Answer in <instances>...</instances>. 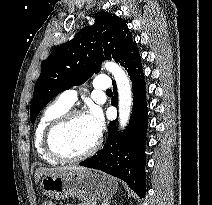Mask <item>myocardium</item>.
Here are the masks:
<instances>
[{
  "instance_id": "f54148a6",
  "label": "myocardium",
  "mask_w": 212,
  "mask_h": 205,
  "mask_svg": "<svg viewBox=\"0 0 212 205\" xmlns=\"http://www.w3.org/2000/svg\"><path fill=\"white\" fill-rule=\"evenodd\" d=\"M84 116L83 112L78 109L68 110L57 117L47 128L44 135V148L46 152L59 162H77L92 156L100 147V138L97 137L93 145L85 152L76 155L68 156L63 154L57 147L56 138L59 132L75 117Z\"/></svg>"
}]
</instances>
